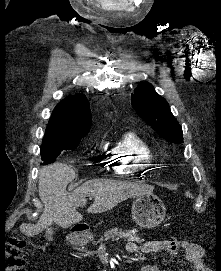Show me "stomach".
<instances>
[{"instance_id":"0dacf381","label":"stomach","mask_w":221,"mask_h":271,"mask_svg":"<svg viewBox=\"0 0 221 271\" xmlns=\"http://www.w3.org/2000/svg\"><path fill=\"white\" fill-rule=\"evenodd\" d=\"M163 207L160 199L155 195H140L132 203V217L140 227H156L159 223H162L166 208ZM87 231L84 233H75V238H86ZM92 237V235H90Z\"/></svg>"}]
</instances>
